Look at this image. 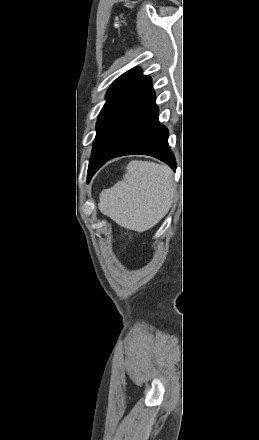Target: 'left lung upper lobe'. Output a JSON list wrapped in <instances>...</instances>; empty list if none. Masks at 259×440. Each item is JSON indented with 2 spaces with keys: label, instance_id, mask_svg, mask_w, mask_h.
Returning a JSON list of instances; mask_svg holds the SVG:
<instances>
[{
  "label": "left lung upper lobe",
  "instance_id": "1",
  "mask_svg": "<svg viewBox=\"0 0 259 440\" xmlns=\"http://www.w3.org/2000/svg\"><path fill=\"white\" fill-rule=\"evenodd\" d=\"M150 84L151 78L143 76L139 68H134L121 75L109 88L106 95V103L99 114L96 125L97 134L89 162L88 179L97 158L109 142L118 125Z\"/></svg>",
  "mask_w": 259,
  "mask_h": 440
}]
</instances>
